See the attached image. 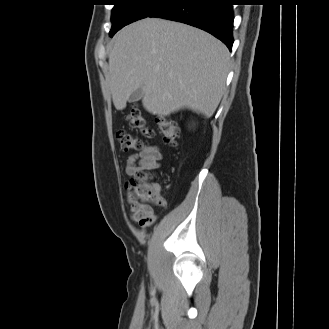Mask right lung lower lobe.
<instances>
[{"instance_id": "right-lung-lower-lobe-1", "label": "right lung lower lobe", "mask_w": 329, "mask_h": 329, "mask_svg": "<svg viewBox=\"0 0 329 329\" xmlns=\"http://www.w3.org/2000/svg\"><path fill=\"white\" fill-rule=\"evenodd\" d=\"M232 0H173L149 17L178 21L205 30L232 49Z\"/></svg>"}]
</instances>
